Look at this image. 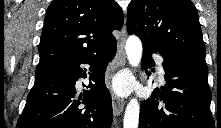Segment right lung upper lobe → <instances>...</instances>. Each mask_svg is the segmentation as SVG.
Segmentation results:
<instances>
[{
  "instance_id": "1",
  "label": "right lung upper lobe",
  "mask_w": 221,
  "mask_h": 128,
  "mask_svg": "<svg viewBox=\"0 0 221 128\" xmlns=\"http://www.w3.org/2000/svg\"><path fill=\"white\" fill-rule=\"evenodd\" d=\"M123 19L114 0H53L44 19L36 72L115 42L112 31L122 27Z\"/></svg>"
}]
</instances>
